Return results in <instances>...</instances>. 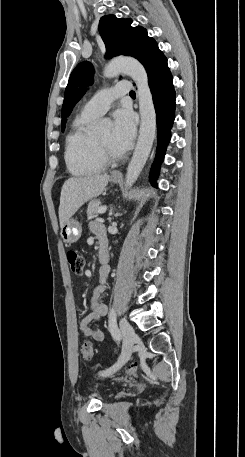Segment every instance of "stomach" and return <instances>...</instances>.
<instances>
[{"mask_svg":"<svg viewBox=\"0 0 245 457\" xmlns=\"http://www.w3.org/2000/svg\"><path fill=\"white\" fill-rule=\"evenodd\" d=\"M112 182H120V178H111ZM82 233V226L75 218H69L61 229V237L64 243L71 245L80 239Z\"/></svg>","mask_w":245,"mask_h":457,"instance_id":"0dacf381","label":"stomach"}]
</instances>
